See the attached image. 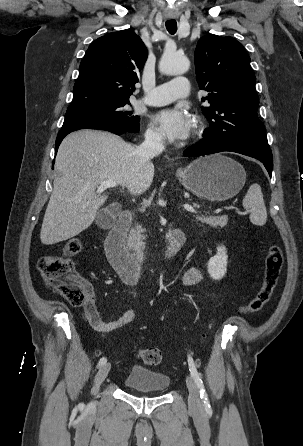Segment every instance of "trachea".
Returning a JSON list of instances; mask_svg holds the SVG:
<instances>
[{
	"label": "trachea",
	"mask_w": 303,
	"mask_h": 446,
	"mask_svg": "<svg viewBox=\"0 0 303 446\" xmlns=\"http://www.w3.org/2000/svg\"><path fill=\"white\" fill-rule=\"evenodd\" d=\"M166 29L170 34H175L177 31V22L175 20H169L166 22Z\"/></svg>",
	"instance_id": "3493384b"
}]
</instances>
